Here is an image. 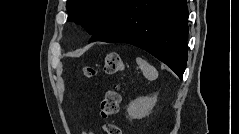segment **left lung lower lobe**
Instances as JSON below:
<instances>
[{"mask_svg": "<svg viewBox=\"0 0 239 134\" xmlns=\"http://www.w3.org/2000/svg\"><path fill=\"white\" fill-rule=\"evenodd\" d=\"M186 0H125L113 20L89 40L128 43L168 65L179 78L187 62Z\"/></svg>", "mask_w": 239, "mask_h": 134, "instance_id": "0a47b994", "label": "left lung lower lobe"}]
</instances>
